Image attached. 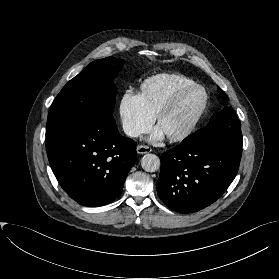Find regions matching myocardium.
<instances>
[{
  "label": "myocardium",
  "mask_w": 279,
  "mask_h": 279,
  "mask_svg": "<svg viewBox=\"0 0 279 279\" xmlns=\"http://www.w3.org/2000/svg\"><path fill=\"white\" fill-rule=\"evenodd\" d=\"M194 90H201L203 92L204 99L202 105L200 106L192 121L184 130L177 134L166 135L167 139L171 142H182L195 131L208 106L209 96L207 90L199 84L185 87L177 92L174 97L156 115V124L159 127L160 123L177 108L184 97Z\"/></svg>",
  "instance_id": "f54148a6"
}]
</instances>
